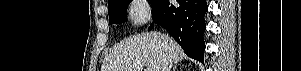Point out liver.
<instances>
[{"mask_svg":"<svg viewBox=\"0 0 301 71\" xmlns=\"http://www.w3.org/2000/svg\"><path fill=\"white\" fill-rule=\"evenodd\" d=\"M181 62L186 56L168 35L146 32L121 42L105 56L101 71H141L134 66H147V71H162L164 61Z\"/></svg>","mask_w":301,"mask_h":71,"instance_id":"1","label":"liver"}]
</instances>
